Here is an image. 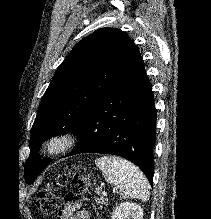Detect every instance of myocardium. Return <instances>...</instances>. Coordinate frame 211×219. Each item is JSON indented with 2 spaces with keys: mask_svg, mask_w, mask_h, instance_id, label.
Returning <instances> with one entry per match:
<instances>
[{
  "mask_svg": "<svg viewBox=\"0 0 211 219\" xmlns=\"http://www.w3.org/2000/svg\"><path fill=\"white\" fill-rule=\"evenodd\" d=\"M77 143L73 132H62L50 135L42 143L41 153L47 158H58L71 152Z\"/></svg>",
  "mask_w": 211,
  "mask_h": 219,
  "instance_id": "myocardium-1",
  "label": "myocardium"
}]
</instances>
